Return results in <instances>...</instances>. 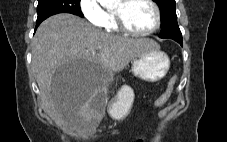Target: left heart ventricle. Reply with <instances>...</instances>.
Listing matches in <instances>:
<instances>
[{
    "mask_svg": "<svg viewBox=\"0 0 227 142\" xmlns=\"http://www.w3.org/2000/svg\"><path fill=\"white\" fill-rule=\"evenodd\" d=\"M120 6L118 2L114 9ZM123 14L128 26L135 31H148L155 24L154 9L146 0H131L123 7Z\"/></svg>",
    "mask_w": 227,
    "mask_h": 142,
    "instance_id": "b2bd125f",
    "label": "left heart ventricle"
}]
</instances>
